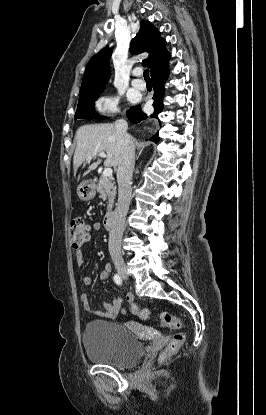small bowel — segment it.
I'll use <instances>...</instances> for the list:
<instances>
[{"label": "small bowel", "mask_w": 266, "mask_h": 415, "mask_svg": "<svg viewBox=\"0 0 266 415\" xmlns=\"http://www.w3.org/2000/svg\"><path fill=\"white\" fill-rule=\"evenodd\" d=\"M94 230H99L101 228L100 223H94L92 225ZM85 263V257L81 250L76 251V264L81 267ZM111 272V266L110 264H106L104 266V269L100 272L99 277L100 279L104 280L109 277V274ZM91 277L90 275H84L82 277V283L84 285H90L91 284ZM127 302H132L133 298L130 294L126 296ZM81 303L86 312L92 313L95 316L106 318V319H114L118 316L121 310V301L122 299L120 297L115 298L111 303H104L103 304V310H93L90 305L89 296L87 293H83L81 295Z\"/></svg>", "instance_id": "obj_1"}]
</instances>
